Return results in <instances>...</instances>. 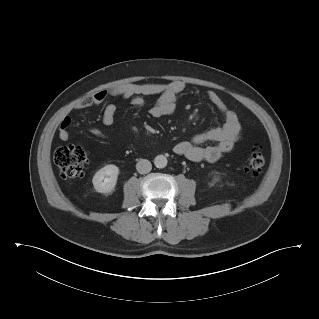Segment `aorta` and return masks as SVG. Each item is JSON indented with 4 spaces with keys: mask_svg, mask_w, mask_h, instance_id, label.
<instances>
[{
    "mask_svg": "<svg viewBox=\"0 0 319 319\" xmlns=\"http://www.w3.org/2000/svg\"><path fill=\"white\" fill-rule=\"evenodd\" d=\"M167 158L164 155H157L154 159V165L157 168H165L167 165Z\"/></svg>",
    "mask_w": 319,
    "mask_h": 319,
    "instance_id": "762f6f07",
    "label": "aorta"
}]
</instances>
